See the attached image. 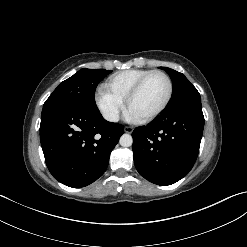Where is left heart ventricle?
<instances>
[{"label":"left heart ventricle","instance_id":"1","mask_svg":"<svg viewBox=\"0 0 247 247\" xmlns=\"http://www.w3.org/2000/svg\"><path fill=\"white\" fill-rule=\"evenodd\" d=\"M168 92V83L162 75L151 76L138 95L130 104L129 111L135 114L138 118L145 117L164 102Z\"/></svg>","mask_w":247,"mask_h":247}]
</instances>
